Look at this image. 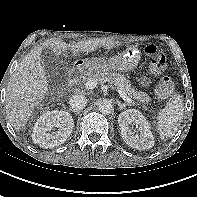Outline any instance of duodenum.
<instances>
[{
    "mask_svg": "<svg viewBox=\"0 0 197 197\" xmlns=\"http://www.w3.org/2000/svg\"><path fill=\"white\" fill-rule=\"evenodd\" d=\"M84 68L83 66H76L73 68V70L70 73V82L72 84H75L79 81L81 74L83 73Z\"/></svg>",
    "mask_w": 197,
    "mask_h": 197,
    "instance_id": "410a0bca",
    "label": "duodenum"
}]
</instances>
